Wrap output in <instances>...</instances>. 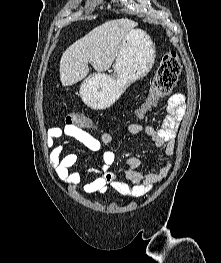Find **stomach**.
<instances>
[{
    "mask_svg": "<svg viewBox=\"0 0 221 263\" xmlns=\"http://www.w3.org/2000/svg\"><path fill=\"white\" fill-rule=\"evenodd\" d=\"M155 57V45L144 31L128 32L113 65L114 75L97 72L82 82L80 96L83 102L95 110L109 108L133 82L149 73Z\"/></svg>",
    "mask_w": 221,
    "mask_h": 263,
    "instance_id": "stomach-1",
    "label": "stomach"
}]
</instances>
